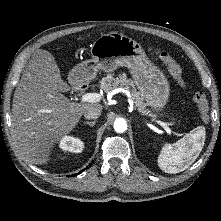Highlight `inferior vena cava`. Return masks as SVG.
<instances>
[{
  "label": "inferior vena cava",
  "instance_id": "1",
  "mask_svg": "<svg viewBox=\"0 0 221 221\" xmlns=\"http://www.w3.org/2000/svg\"><path fill=\"white\" fill-rule=\"evenodd\" d=\"M101 115L100 109H90L84 112L86 119H97Z\"/></svg>",
  "mask_w": 221,
  "mask_h": 221
}]
</instances>
